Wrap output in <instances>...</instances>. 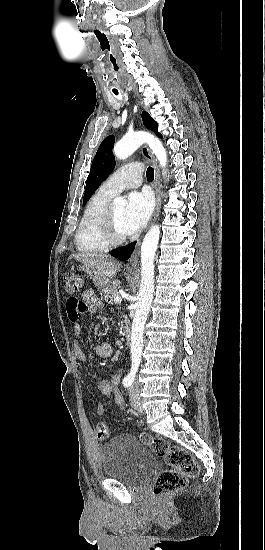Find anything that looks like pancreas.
Here are the masks:
<instances>
[{
    "instance_id": "1",
    "label": "pancreas",
    "mask_w": 265,
    "mask_h": 550,
    "mask_svg": "<svg viewBox=\"0 0 265 550\" xmlns=\"http://www.w3.org/2000/svg\"><path fill=\"white\" fill-rule=\"evenodd\" d=\"M121 287V282L118 280L111 281L104 289L103 295L106 300L112 301L115 296H118V290Z\"/></svg>"
}]
</instances>
